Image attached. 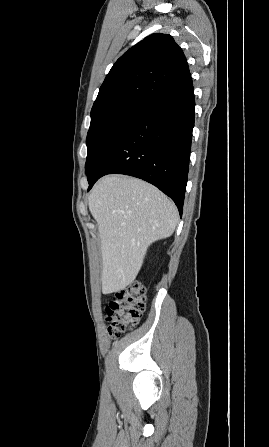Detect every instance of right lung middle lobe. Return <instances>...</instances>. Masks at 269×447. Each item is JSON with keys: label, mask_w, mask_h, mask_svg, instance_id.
Segmentation results:
<instances>
[{"label": "right lung middle lobe", "mask_w": 269, "mask_h": 447, "mask_svg": "<svg viewBox=\"0 0 269 447\" xmlns=\"http://www.w3.org/2000/svg\"><path fill=\"white\" fill-rule=\"evenodd\" d=\"M141 106H122L91 118L87 135V159L85 172L89 173L93 162L117 134L124 122Z\"/></svg>", "instance_id": "dd1d6c3e"}]
</instances>
